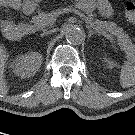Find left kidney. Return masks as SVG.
I'll use <instances>...</instances> for the list:
<instances>
[{
  "label": "left kidney",
  "instance_id": "left-kidney-1",
  "mask_svg": "<svg viewBox=\"0 0 135 135\" xmlns=\"http://www.w3.org/2000/svg\"><path fill=\"white\" fill-rule=\"evenodd\" d=\"M104 62L106 63L108 68H114L116 66L115 61L111 60L110 58L104 57Z\"/></svg>",
  "mask_w": 135,
  "mask_h": 135
}]
</instances>
